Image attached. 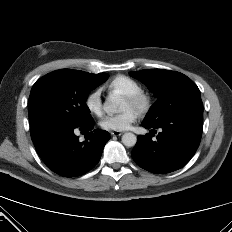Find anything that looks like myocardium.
I'll use <instances>...</instances> for the list:
<instances>
[{
    "instance_id": "1",
    "label": "myocardium",
    "mask_w": 232,
    "mask_h": 232,
    "mask_svg": "<svg viewBox=\"0 0 232 232\" xmlns=\"http://www.w3.org/2000/svg\"><path fill=\"white\" fill-rule=\"evenodd\" d=\"M125 99L131 104L132 108L138 113H145L150 106V97L143 91L126 95Z\"/></svg>"
}]
</instances>
